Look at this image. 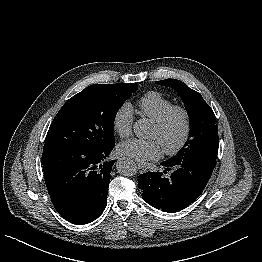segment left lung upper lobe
<instances>
[{
    "label": "left lung upper lobe",
    "instance_id": "obj_1",
    "mask_svg": "<svg viewBox=\"0 0 262 262\" xmlns=\"http://www.w3.org/2000/svg\"><path fill=\"white\" fill-rule=\"evenodd\" d=\"M156 83L172 87L180 95L190 120V139L186 142L185 147L169 160H216L219 144L216 118L201 94L176 79H165Z\"/></svg>",
    "mask_w": 262,
    "mask_h": 262
}]
</instances>
